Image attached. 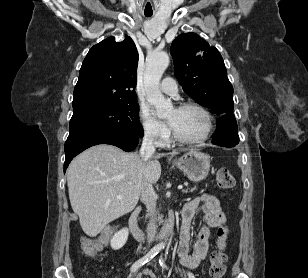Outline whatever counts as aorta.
Here are the masks:
<instances>
[{
	"label": "aorta",
	"mask_w": 308,
	"mask_h": 278,
	"mask_svg": "<svg viewBox=\"0 0 308 278\" xmlns=\"http://www.w3.org/2000/svg\"><path fill=\"white\" fill-rule=\"evenodd\" d=\"M169 65V56L165 52L153 53L146 60L144 84L147 93V101L156 108L157 115L164 117L172 109V103L167 100L159 90L161 77ZM160 247L164 248L165 243Z\"/></svg>",
	"instance_id": "762f6f07"
}]
</instances>
